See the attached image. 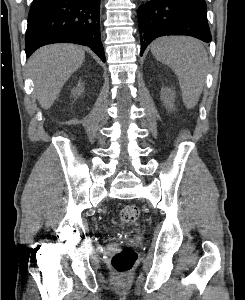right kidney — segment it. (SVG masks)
Returning a JSON list of instances; mask_svg holds the SVG:
<instances>
[{"label": "right kidney", "mask_w": 245, "mask_h": 300, "mask_svg": "<svg viewBox=\"0 0 245 300\" xmlns=\"http://www.w3.org/2000/svg\"><path fill=\"white\" fill-rule=\"evenodd\" d=\"M83 91V83L79 82L77 87L73 89V95H80Z\"/></svg>", "instance_id": "right-kidney-1"}]
</instances>
